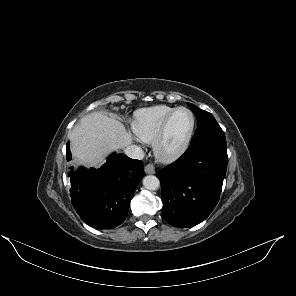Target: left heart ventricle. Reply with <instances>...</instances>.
Here are the masks:
<instances>
[{
	"label": "left heart ventricle",
	"instance_id": "obj_1",
	"mask_svg": "<svg viewBox=\"0 0 296 296\" xmlns=\"http://www.w3.org/2000/svg\"><path fill=\"white\" fill-rule=\"evenodd\" d=\"M192 124L189 112L179 111L172 119L165 140L163 150L172 151L178 148L187 136Z\"/></svg>",
	"mask_w": 296,
	"mask_h": 296
}]
</instances>
